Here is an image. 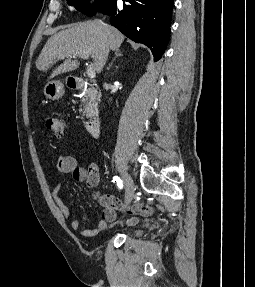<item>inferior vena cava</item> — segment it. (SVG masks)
<instances>
[{
	"mask_svg": "<svg viewBox=\"0 0 255 287\" xmlns=\"http://www.w3.org/2000/svg\"><path fill=\"white\" fill-rule=\"evenodd\" d=\"M97 22H99V24H102L101 20H97ZM104 88L105 90H109L110 88L109 84H104Z\"/></svg>",
	"mask_w": 255,
	"mask_h": 287,
	"instance_id": "inferior-vena-cava-1",
	"label": "inferior vena cava"
}]
</instances>
